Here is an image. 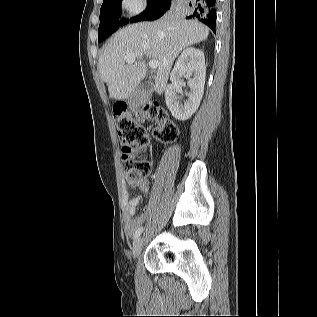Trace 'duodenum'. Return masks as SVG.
Segmentation results:
<instances>
[{"mask_svg":"<svg viewBox=\"0 0 317 317\" xmlns=\"http://www.w3.org/2000/svg\"><path fill=\"white\" fill-rule=\"evenodd\" d=\"M130 105H131V109L133 111H136L137 109L147 108L148 103L147 101H142V100H138L137 102L135 100H132L130 102Z\"/></svg>","mask_w":317,"mask_h":317,"instance_id":"duodenum-1","label":"duodenum"}]
</instances>
